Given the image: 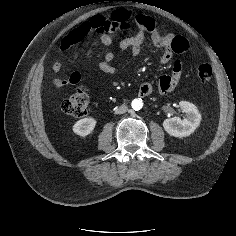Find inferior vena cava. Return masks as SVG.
Instances as JSON below:
<instances>
[{"label":"inferior vena cava","instance_id":"602c4592","mask_svg":"<svg viewBox=\"0 0 236 236\" xmlns=\"http://www.w3.org/2000/svg\"><path fill=\"white\" fill-rule=\"evenodd\" d=\"M127 110H128L127 106L121 105L115 109V114H124L125 112H127Z\"/></svg>","mask_w":236,"mask_h":236}]
</instances>
